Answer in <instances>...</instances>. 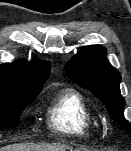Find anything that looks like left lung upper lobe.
<instances>
[{
    "label": "left lung upper lobe",
    "mask_w": 131,
    "mask_h": 151,
    "mask_svg": "<svg viewBox=\"0 0 131 151\" xmlns=\"http://www.w3.org/2000/svg\"><path fill=\"white\" fill-rule=\"evenodd\" d=\"M66 74L79 86L89 89L106 106L109 115L120 126L130 129L125 120V100L120 94V73L106 59V49L92 45L77 53L66 65Z\"/></svg>",
    "instance_id": "obj_1"
}]
</instances>
